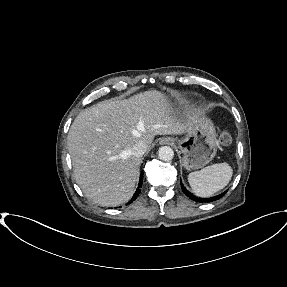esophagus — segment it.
Wrapping results in <instances>:
<instances>
[{
  "label": "esophagus",
  "mask_w": 287,
  "mask_h": 287,
  "mask_svg": "<svg viewBox=\"0 0 287 287\" xmlns=\"http://www.w3.org/2000/svg\"><path fill=\"white\" fill-rule=\"evenodd\" d=\"M161 144H166V145H173L174 144V140L170 137L167 138H163L160 141Z\"/></svg>",
  "instance_id": "1"
}]
</instances>
